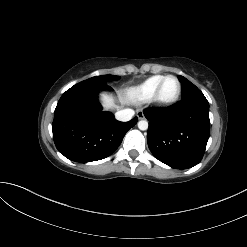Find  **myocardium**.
Returning <instances> with one entry per match:
<instances>
[{
  "label": "myocardium",
  "mask_w": 247,
  "mask_h": 247,
  "mask_svg": "<svg viewBox=\"0 0 247 247\" xmlns=\"http://www.w3.org/2000/svg\"><path fill=\"white\" fill-rule=\"evenodd\" d=\"M169 78H173L176 80L177 82V91L175 93V95L170 98V99H163L161 97V91H162V88H163V85L164 83L169 79ZM181 91H182V86H181V82L180 80L174 76V75H167L165 76L162 81L160 82V84L158 85L156 91H155V94L153 96V101L156 105L160 106V107H163V108H167V107H170L172 105H174L180 98V95H181Z\"/></svg>",
  "instance_id": "f54148a6"
}]
</instances>
